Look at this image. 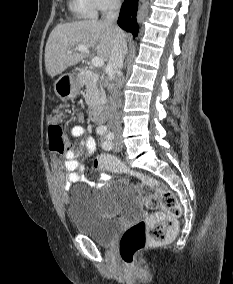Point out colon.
<instances>
[{
  "label": "colon",
  "instance_id": "1",
  "mask_svg": "<svg viewBox=\"0 0 233 284\" xmlns=\"http://www.w3.org/2000/svg\"><path fill=\"white\" fill-rule=\"evenodd\" d=\"M48 136L49 146L53 151L61 154L71 151L70 142L59 123L54 122L49 125ZM94 167L106 175L133 178L140 184L152 188L159 199L161 211L154 213L147 220L139 221L128 227L120 239V257L126 266L133 267L136 254L147 244L163 243L172 237L176 229L177 218L181 213L180 204L164 184L144 173L127 168L113 156L97 157Z\"/></svg>",
  "mask_w": 233,
  "mask_h": 284
}]
</instances>
